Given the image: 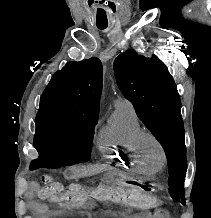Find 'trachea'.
<instances>
[{"label":"trachea","mask_w":211,"mask_h":218,"mask_svg":"<svg viewBox=\"0 0 211 218\" xmlns=\"http://www.w3.org/2000/svg\"><path fill=\"white\" fill-rule=\"evenodd\" d=\"M104 28H106V27H102V28H100V30H104Z\"/></svg>","instance_id":"3493384b"}]
</instances>
